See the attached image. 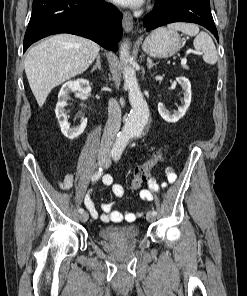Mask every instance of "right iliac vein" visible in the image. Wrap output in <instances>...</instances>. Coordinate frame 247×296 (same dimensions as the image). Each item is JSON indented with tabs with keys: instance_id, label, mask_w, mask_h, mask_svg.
Wrapping results in <instances>:
<instances>
[{
	"instance_id": "1",
	"label": "right iliac vein",
	"mask_w": 247,
	"mask_h": 296,
	"mask_svg": "<svg viewBox=\"0 0 247 296\" xmlns=\"http://www.w3.org/2000/svg\"><path fill=\"white\" fill-rule=\"evenodd\" d=\"M105 161V156L104 155H100L98 157V165H102ZM80 220L82 222H86L88 220V213L87 212H83L80 214Z\"/></svg>"
}]
</instances>
